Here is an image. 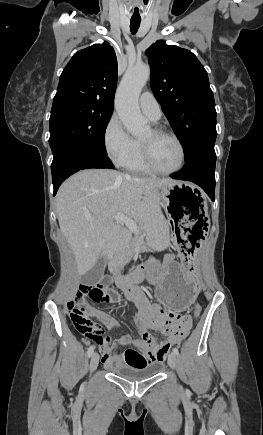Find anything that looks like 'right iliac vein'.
<instances>
[{
	"mask_svg": "<svg viewBox=\"0 0 263 435\" xmlns=\"http://www.w3.org/2000/svg\"><path fill=\"white\" fill-rule=\"evenodd\" d=\"M98 363H99V355L95 352L92 354L90 364H89L90 373L96 370V368L98 367Z\"/></svg>",
	"mask_w": 263,
	"mask_h": 435,
	"instance_id": "1",
	"label": "right iliac vein"
}]
</instances>
